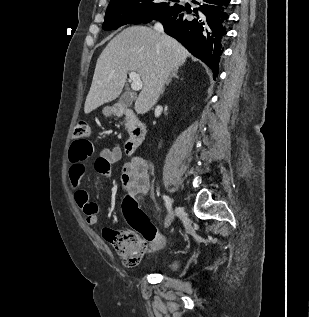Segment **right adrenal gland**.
Instances as JSON below:
<instances>
[{
    "mask_svg": "<svg viewBox=\"0 0 309 317\" xmlns=\"http://www.w3.org/2000/svg\"><path fill=\"white\" fill-rule=\"evenodd\" d=\"M178 72H179L178 69H175L171 72L170 77L165 82L166 86L171 82L172 78H178V75H177ZM164 90H165V87L162 89L161 94H163Z\"/></svg>",
    "mask_w": 309,
    "mask_h": 317,
    "instance_id": "2a0ac1e0",
    "label": "right adrenal gland"
}]
</instances>
